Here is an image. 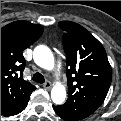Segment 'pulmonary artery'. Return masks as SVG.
<instances>
[{
  "label": "pulmonary artery",
  "mask_w": 121,
  "mask_h": 121,
  "mask_svg": "<svg viewBox=\"0 0 121 121\" xmlns=\"http://www.w3.org/2000/svg\"><path fill=\"white\" fill-rule=\"evenodd\" d=\"M57 73L59 74L60 73V67L58 66L57 68Z\"/></svg>",
  "instance_id": "1"
}]
</instances>
